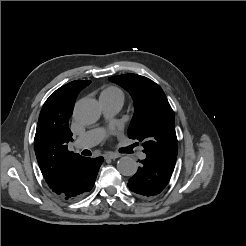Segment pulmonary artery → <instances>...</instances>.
Segmentation results:
<instances>
[{
    "instance_id": "1",
    "label": "pulmonary artery",
    "mask_w": 246,
    "mask_h": 246,
    "mask_svg": "<svg viewBox=\"0 0 246 246\" xmlns=\"http://www.w3.org/2000/svg\"><path fill=\"white\" fill-rule=\"evenodd\" d=\"M100 103L106 116H111L117 113L123 105V102L119 100L100 99ZM101 138L102 136L100 131L91 130L78 137L75 141V146L78 149H88L98 144ZM138 157L140 159H145L146 154L143 151H140L138 153Z\"/></svg>"
}]
</instances>
